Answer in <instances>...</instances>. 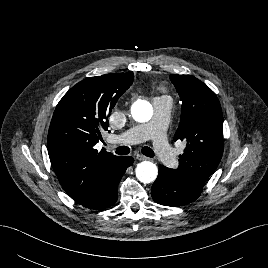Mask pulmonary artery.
<instances>
[{"instance_id":"obj_1","label":"pulmonary artery","mask_w":268,"mask_h":268,"mask_svg":"<svg viewBox=\"0 0 268 268\" xmlns=\"http://www.w3.org/2000/svg\"><path fill=\"white\" fill-rule=\"evenodd\" d=\"M152 105L154 108L153 121L132 127L123 136H113L111 141L112 143L135 144L152 139L154 153L168 167H173L177 163V158L165 137L170 103L164 97H157L153 99Z\"/></svg>"}]
</instances>
